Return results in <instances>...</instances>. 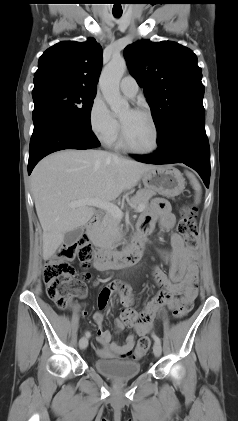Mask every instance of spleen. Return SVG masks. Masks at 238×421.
Wrapping results in <instances>:
<instances>
[{"mask_svg": "<svg viewBox=\"0 0 238 421\" xmlns=\"http://www.w3.org/2000/svg\"><path fill=\"white\" fill-rule=\"evenodd\" d=\"M187 177L190 179L191 185L194 188L196 192L195 201L196 203L200 202V196H201V185L191 172H186Z\"/></svg>", "mask_w": 238, "mask_h": 421, "instance_id": "spleen-1", "label": "spleen"}]
</instances>
